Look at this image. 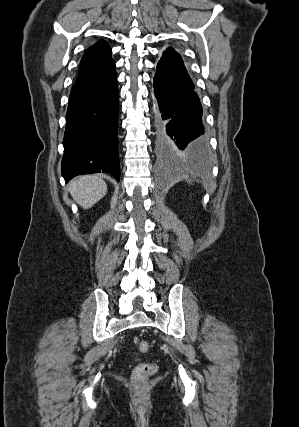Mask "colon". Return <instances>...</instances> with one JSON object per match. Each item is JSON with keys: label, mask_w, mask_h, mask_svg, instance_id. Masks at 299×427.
I'll return each instance as SVG.
<instances>
[{"label": "colon", "mask_w": 299, "mask_h": 427, "mask_svg": "<svg viewBox=\"0 0 299 427\" xmlns=\"http://www.w3.org/2000/svg\"><path fill=\"white\" fill-rule=\"evenodd\" d=\"M135 343L141 352H147L149 350L148 342L137 339L135 340ZM156 368L155 363H145L136 366L132 374L133 382L138 385L145 384L148 378L155 373Z\"/></svg>", "instance_id": "5ec220e1"}]
</instances>
